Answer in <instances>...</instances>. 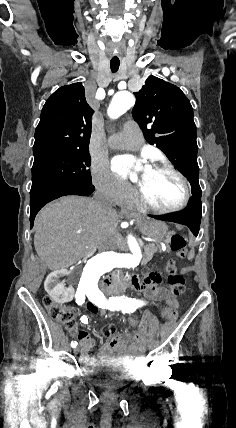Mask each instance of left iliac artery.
<instances>
[{
    "instance_id": "obj_1",
    "label": "left iliac artery",
    "mask_w": 236,
    "mask_h": 428,
    "mask_svg": "<svg viewBox=\"0 0 236 428\" xmlns=\"http://www.w3.org/2000/svg\"><path fill=\"white\" fill-rule=\"evenodd\" d=\"M85 294L88 299L99 308H106L110 311L121 310L122 313H128L145 305L144 301L128 298L125 297V295L121 297H109V300H107L101 291H87Z\"/></svg>"
}]
</instances>
